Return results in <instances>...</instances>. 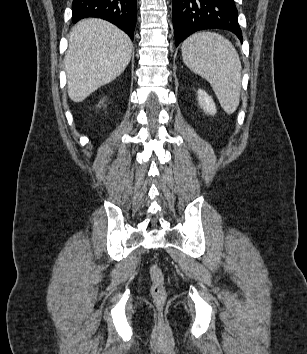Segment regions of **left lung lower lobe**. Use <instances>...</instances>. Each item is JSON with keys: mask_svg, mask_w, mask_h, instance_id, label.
<instances>
[{"mask_svg": "<svg viewBox=\"0 0 307 354\" xmlns=\"http://www.w3.org/2000/svg\"><path fill=\"white\" fill-rule=\"evenodd\" d=\"M176 46L203 29H225L242 40L234 0H172Z\"/></svg>", "mask_w": 307, "mask_h": 354, "instance_id": "obj_1", "label": "left lung lower lobe"}]
</instances>
